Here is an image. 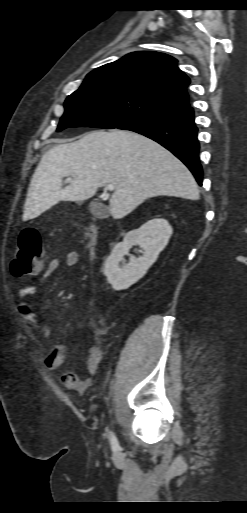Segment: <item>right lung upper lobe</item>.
I'll list each match as a JSON object with an SVG mask.
<instances>
[{"label": "right lung upper lobe", "instance_id": "right-lung-upper-lobe-1", "mask_svg": "<svg viewBox=\"0 0 247 513\" xmlns=\"http://www.w3.org/2000/svg\"><path fill=\"white\" fill-rule=\"evenodd\" d=\"M190 79L173 57L150 51L127 54L90 72L78 90L119 88L137 92L164 105L168 110L188 104Z\"/></svg>", "mask_w": 247, "mask_h": 513}]
</instances>
